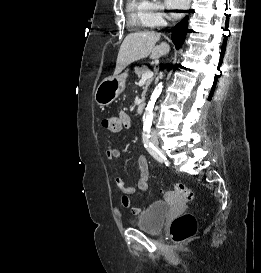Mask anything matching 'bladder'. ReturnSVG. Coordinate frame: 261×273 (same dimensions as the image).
Listing matches in <instances>:
<instances>
[{
	"label": "bladder",
	"mask_w": 261,
	"mask_h": 273,
	"mask_svg": "<svg viewBox=\"0 0 261 273\" xmlns=\"http://www.w3.org/2000/svg\"><path fill=\"white\" fill-rule=\"evenodd\" d=\"M170 207V204L165 201L152 202L138 216L136 225L145 232H160L170 212Z\"/></svg>",
	"instance_id": "obj_1"
}]
</instances>
